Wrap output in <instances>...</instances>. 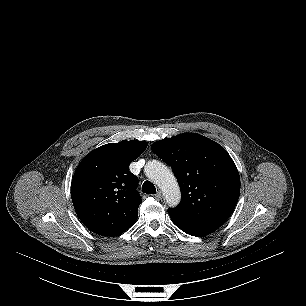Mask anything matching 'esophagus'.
<instances>
[{
  "label": "esophagus",
  "mask_w": 306,
  "mask_h": 306,
  "mask_svg": "<svg viewBox=\"0 0 306 306\" xmlns=\"http://www.w3.org/2000/svg\"><path fill=\"white\" fill-rule=\"evenodd\" d=\"M156 199L161 200L163 198V193L161 190H159L156 195H155Z\"/></svg>",
  "instance_id": "obj_1"
}]
</instances>
